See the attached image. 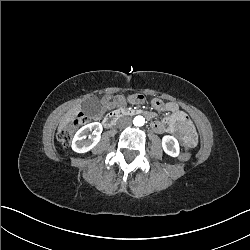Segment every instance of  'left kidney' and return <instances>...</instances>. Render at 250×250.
I'll return each instance as SVG.
<instances>
[{
    "instance_id": "obj_1",
    "label": "left kidney",
    "mask_w": 250,
    "mask_h": 250,
    "mask_svg": "<svg viewBox=\"0 0 250 250\" xmlns=\"http://www.w3.org/2000/svg\"><path fill=\"white\" fill-rule=\"evenodd\" d=\"M165 152L171 156H177L179 153V146L177 140L172 136H165L162 142Z\"/></svg>"
}]
</instances>
